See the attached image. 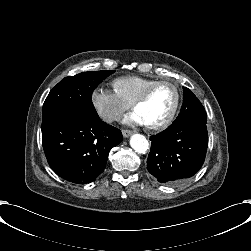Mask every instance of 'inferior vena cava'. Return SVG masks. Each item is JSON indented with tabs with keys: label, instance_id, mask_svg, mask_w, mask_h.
Wrapping results in <instances>:
<instances>
[{
	"label": "inferior vena cava",
	"instance_id": "1",
	"mask_svg": "<svg viewBox=\"0 0 251 251\" xmlns=\"http://www.w3.org/2000/svg\"><path fill=\"white\" fill-rule=\"evenodd\" d=\"M122 119V114L120 113H110L105 115L104 120L106 122H111V121H120Z\"/></svg>",
	"mask_w": 251,
	"mask_h": 251
}]
</instances>
